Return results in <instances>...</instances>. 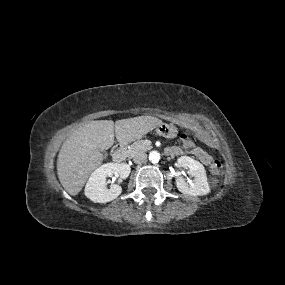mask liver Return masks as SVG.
<instances>
[{"instance_id": "liver-1", "label": "liver", "mask_w": 285, "mask_h": 285, "mask_svg": "<svg viewBox=\"0 0 285 285\" xmlns=\"http://www.w3.org/2000/svg\"><path fill=\"white\" fill-rule=\"evenodd\" d=\"M162 124L153 116L96 120L80 126L63 143L57 159V175L63 188L77 195L90 174L102 164L101 151L114 144V136L126 145Z\"/></svg>"}]
</instances>
